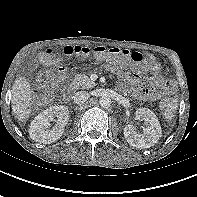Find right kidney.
Returning <instances> with one entry per match:
<instances>
[{"mask_svg":"<svg viewBox=\"0 0 197 197\" xmlns=\"http://www.w3.org/2000/svg\"><path fill=\"white\" fill-rule=\"evenodd\" d=\"M57 117L56 124L49 128L50 122ZM69 120V110L63 105L51 106L38 114L30 124V137L39 143L50 144L58 140L64 133Z\"/></svg>","mask_w":197,"mask_h":197,"instance_id":"right-kidney-1","label":"right kidney"}]
</instances>
